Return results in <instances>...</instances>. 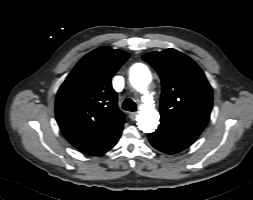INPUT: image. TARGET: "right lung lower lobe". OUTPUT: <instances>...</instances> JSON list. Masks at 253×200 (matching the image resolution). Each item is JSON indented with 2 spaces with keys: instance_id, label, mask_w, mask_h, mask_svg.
Returning a JSON list of instances; mask_svg holds the SVG:
<instances>
[{
  "instance_id": "obj_1",
  "label": "right lung lower lobe",
  "mask_w": 253,
  "mask_h": 200,
  "mask_svg": "<svg viewBox=\"0 0 253 200\" xmlns=\"http://www.w3.org/2000/svg\"><path fill=\"white\" fill-rule=\"evenodd\" d=\"M118 140H116L112 145H110L108 148L102 150V151H99L97 153H95L93 156H97V155H101V154H104L105 152H107L109 149H111L112 147H114L116 145Z\"/></svg>"
}]
</instances>
